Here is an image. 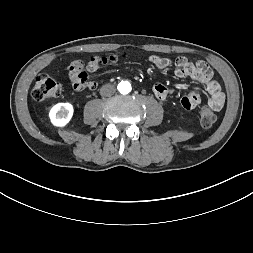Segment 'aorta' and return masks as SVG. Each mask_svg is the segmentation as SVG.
Returning a JSON list of instances; mask_svg holds the SVG:
<instances>
[{
  "label": "aorta",
  "mask_w": 253,
  "mask_h": 253,
  "mask_svg": "<svg viewBox=\"0 0 253 253\" xmlns=\"http://www.w3.org/2000/svg\"><path fill=\"white\" fill-rule=\"evenodd\" d=\"M117 89L121 94H128L131 91V84L128 81H121Z\"/></svg>",
  "instance_id": "aorta-1"
}]
</instances>
